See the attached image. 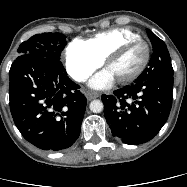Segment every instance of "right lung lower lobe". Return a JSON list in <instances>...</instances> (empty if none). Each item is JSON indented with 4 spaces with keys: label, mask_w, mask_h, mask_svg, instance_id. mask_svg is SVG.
<instances>
[{
    "label": "right lung lower lobe",
    "mask_w": 187,
    "mask_h": 187,
    "mask_svg": "<svg viewBox=\"0 0 187 187\" xmlns=\"http://www.w3.org/2000/svg\"><path fill=\"white\" fill-rule=\"evenodd\" d=\"M9 80L10 111L22 136L43 150L73 145L80 135L87 99L67 77L61 61L19 55Z\"/></svg>",
    "instance_id": "right-lung-lower-lobe-1"
}]
</instances>
